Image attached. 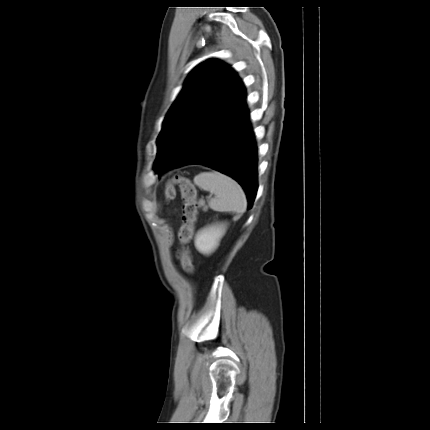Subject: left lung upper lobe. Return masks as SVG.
I'll use <instances>...</instances> for the list:
<instances>
[{
	"instance_id": "5c2ea615",
	"label": "left lung upper lobe",
	"mask_w": 430,
	"mask_h": 430,
	"mask_svg": "<svg viewBox=\"0 0 430 430\" xmlns=\"http://www.w3.org/2000/svg\"><path fill=\"white\" fill-rule=\"evenodd\" d=\"M246 109L245 87L236 72L219 60L197 66L163 122L155 172L186 142L197 122H202L206 115L230 119Z\"/></svg>"
}]
</instances>
